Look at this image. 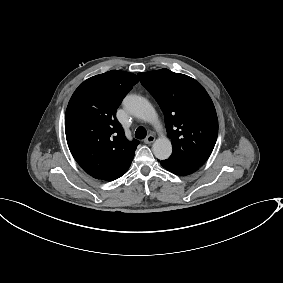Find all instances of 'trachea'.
Instances as JSON below:
<instances>
[{
	"label": "trachea",
	"instance_id": "1",
	"mask_svg": "<svg viewBox=\"0 0 283 283\" xmlns=\"http://www.w3.org/2000/svg\"><path fill=\"white\" fill-rule=\"evenodd\" d=\"M147 135V131L143 126H140L135 131V137L137 139H144Z\"/></svg>",
	"mask_w": 283,
	"mask_h": 283
}]
</instances>
